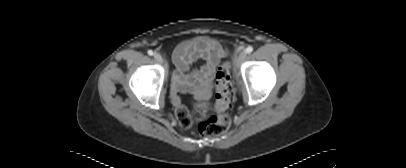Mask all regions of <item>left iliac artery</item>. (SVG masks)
<instances>
[{
    "label": "left iliac artery",
    "instance_id": "44dca946",
    "mask_svg": "<svg viewBox=\"0 0 406 168\" xmlns=\"http://www.w3.org/2000/svg\"><path fill=\"white\" fill-rule=\"evenodd\" d=\"M245 51H246V53H251L253 51V47L248 46Z\"/></svg>",
    "mask_w": 406,
    "mask_h": 168
}]
</instances>
